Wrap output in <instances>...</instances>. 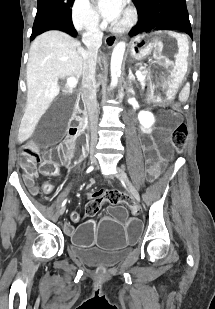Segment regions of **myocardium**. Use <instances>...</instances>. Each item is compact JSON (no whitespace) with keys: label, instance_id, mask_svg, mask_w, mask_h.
Returning a JSON list of instances; mask_svg holds the SVG:
<instances>
[{"label":"myocardium","instance_id":"1","mask_svg":"<svg viewBox=\"0 0 215 309\" xmlns=\"http://www.w3.org/2000/svg\"><path fill=\"white\" fill-rule=\"evenodd\" d=\"M125 19H110L108 24L117 34H128L133 25L136 24L133 9H126Z\"/></svg>","mask_w":215,"mask_h":309}]
</instances>
